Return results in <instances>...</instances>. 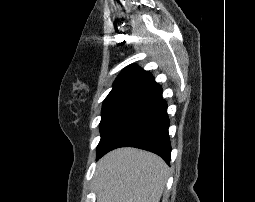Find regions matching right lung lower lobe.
Wrapping results in <instances>:
<instances>
[{
	"label": "right lung lower lobe",
	"instance_id": "98d812e1",
	"mask_svg": "<svg viewBox=\"0 0 255 202\" xmlns=\"http://www.w3.org/2000/svg\"><path fill=\"white\" fill-rule=\"evenodd\" d=\"M168 127L167 104L160 99L136 113L111 139L100 157L115 148L129 146L156 153L169 164Z\"/></svg>",
	"mask_w": 255,
	"mask_h": 202
}]
</instances>
